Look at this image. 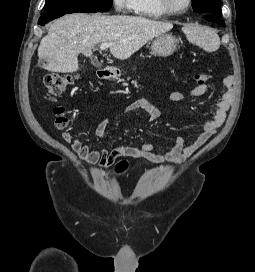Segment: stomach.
<instances>
[{
	"label": "stomach",
	"mask_w": 255,
	"mask_h": 272,
	"mask_svg": "<svg viewBox=\"0 0 255 272\" xmlns=\"http://www.w3.org/2000/svg\"><path fill=\"white\" fill-rule=\"evenodd\" d=\"M178 47V40L169 33H162L154 38L151 44L153 55L167 57L172 55Z\"/></svg>",
	"instance_id": "1"
}]
</instances>
